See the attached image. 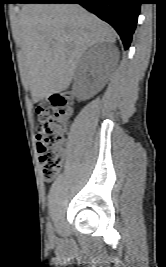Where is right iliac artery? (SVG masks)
Wrapping results in <instances>:
<instances>
[{"instance_id": "obj_1", "label": "right iliac artery", "mask_w": 166, "mask_h": 267, "mask_svg": "<svg viewBox=\"0 0 166 267\" xmlns=\"http://www.w3.org/2000/svg\"><path fill=\"white\" fill-rule=\"evenodd\" d=\"M47 234L49 237L52 236V234H53V227H52V224L50 222H48V224H47Z\"/></svg>"}]
</instances>
